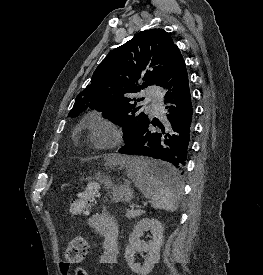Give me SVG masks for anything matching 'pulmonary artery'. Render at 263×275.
<instances>
[{
  "label": "pulmonary artery",
  "instance_id": "obj_1",
  "mask_svg": "<svg viewBox=\"0 0 263 275\" xmlns=\"http://www.w3.org/2000/svg\"><path fill=\"white\" fill-rule=\"evenodd\" d=\"M146 99L150 102V106L153 111L159 112L162 108V94L159 89L155 86L149 87L146 90Z\"/></svg>",
  "mask_w": 263,
  "mask_h": 275
}]
</instances>
